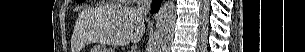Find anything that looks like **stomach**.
<instances>
[{
    "instance_id": "1",
    "label": "stomach",
    "mask_w": 305,
    "mask_h": 52,
    "mask_svg": "<svg viewBox=\"0 0 305 52\" xmlns=\"http://www.w3.org/2000/svg\"><path fill=\"white\" fill-rule=\"evenodd\" d=\"M91 52H112V51H110L103 45H96L92 48Z\"/></svg>"
}]
</instances>
